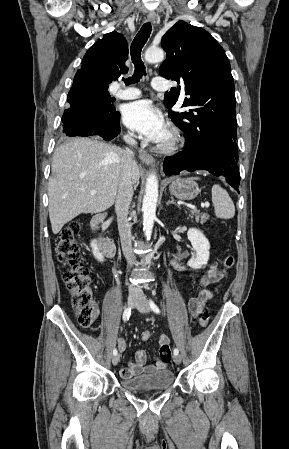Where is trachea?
<instances>
[{"label":"trachea","mask_w":289,"mask_h":449,"mask_svg":"<svg viewBox=\"0 0 289 449\" xmlns=\"http://www.w3.org/2000/svg\"><path fill=\"white\" fill-rule=\"evenodd\" d=\"M152 31L150 22L143 24L140 31L135 36L130 47L131 60L134 64L135 70L132 77L123 79L126 85L138 83L143 75H146L145 65L141 59V51L147 42Z\"/></svg>","instance_id":"3493384b"}]
</instances>
